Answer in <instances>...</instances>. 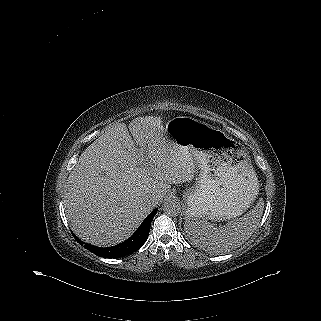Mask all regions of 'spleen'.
Wrapping results in <instances>:
<instances>
[{"mask_svg":"<svg viewBox=\"0 0 321 321\" xmlns=\"http://www.w3.org/2000/svg\"><path fill=\"white\" fill-rule=\"evenodd\" d=\"M264 211L261 198L244 216L215 227L204 219H186L184 228L191 241L203 250L223 254L240 247L257 229Z\"/></svg>","mask_w":321,"mask_h":321,"instance_id":"spleen-1","label":"spleen"}]
</instances>
